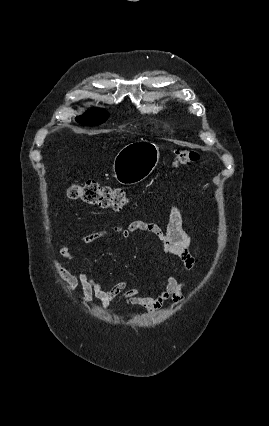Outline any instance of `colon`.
<instances>
[{"label":"colon","mask_w":269,"mask_h":426,"mask_svg":"<svg viewBox=\"0 0 269 426\" xmlns=\"http://www.w3.org/2000/svg\"><path fill=\"white\" fill-rule=\"evenodd\" d=\"M198 159L199 154L195 150L176 149L174 151L173 165L175 167L190 165ZM68 196L73 200L103 209L119 210L128 204L124 189L101 185L96 181L74 183L68 189Z\"/></svg>","instance_id":"obj_1"}]
</instances>
